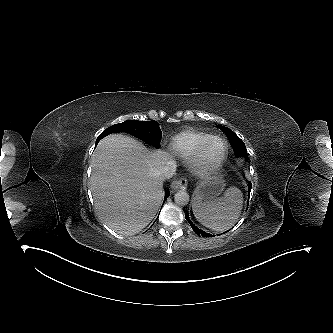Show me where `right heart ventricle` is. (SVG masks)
Segmentation results:
<instances>
[{
    "label": "right heart ventricle",
    "instance_id": "e07e8e85",
    "mask_svg": "<svg viewBox=\"0 0 333 333\" xmlns=\"http://www.w3.org/2000/svg\"><path fill=\"white\" fill-rule=\"evenodd\" d=\"M211 137L210 134L186 130L175 135L170 142L171 151L183 159L192 158L204 142Z\"/></svg>",
    "mask_w": 333,
    "mask_h": 333
}]
</instances>
